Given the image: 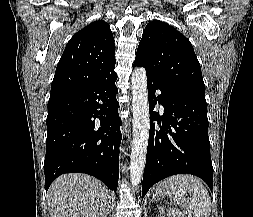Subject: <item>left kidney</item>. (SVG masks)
Segmentation results:
<instances>
[{"label":"left kidney","mask_w":253,"mask_h":217,"mask_svg":"<svg viewBox=\"0 0 253 217\" xmlns=\"http://www.w3.org/2000/svg\"><path fill=\"white\" fill-rule=\"evenodd\" d=\"M162 211H163V209H162ZM174 217H184L183 215H181V213H179V215L178 216H174Z\"/></svg>","instance_id":"1"}]
</instances>
